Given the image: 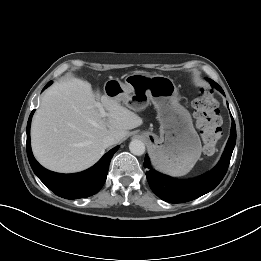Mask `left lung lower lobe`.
I'll return each mask as SVG.
<instances>
[{
	"instance_id": "obj_1",
	"label": "left lung lower lobe",
	"mask_w": 261,
	"mask_h": 261,
	"mask_svg": "<svg viewBox=\"0 0 261 261\" xmlns=\"http://www.w3.org/2000/svg\"><path fill=\"white\" fill-rule=\"evenodd\" d=\"M208 80L224 93L218 84L211 79ZM235 143L236 126L232 117L231 135L219 163L208 173L189 180H176L155 171L150 166L148 156H145L144 167L148 168L146 177L152 191L159 198L169 203H184L208 193L213 190L225 176Z\"/></svg>"
}]
</instances>
